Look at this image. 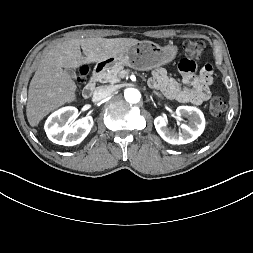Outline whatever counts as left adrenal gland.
Listing matches in <instances>:
<instances>
[{
    "label": "left adrenal gland",
    "mask_w": 253,
    "mask_h": 253,
    "mask_svg": "<svg viewBox=\"0 0 253 253\" xmlns=\"http://www.w3.org/2000/svg\"><path fill=\"white\" fill-rule=\"evenodd\" d=\"M154 95L158 96V97H161L160 94H158L157 92H153Z\"/></svg>",
    "instance_id": "a2214340"
}]
</instances>
